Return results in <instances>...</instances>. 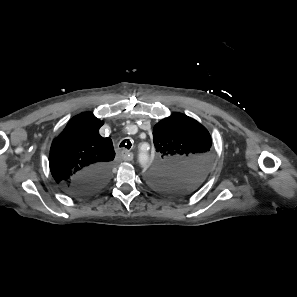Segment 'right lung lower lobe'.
<instances>
[{
    "mask_svg": "<svg viewBox=\"0 0 297 297\" xmlns=\"http://www.w3.org/2000/svg\"><path fill=\"white\" fill-rule=\"evenodd\" d=\"M111 166L97 165L77 174L69 184V192L75 196H87L101 189L110 177Z\"/></svg>",
    "mask_w": 297,
    "mask_h": 297,
    "instance_id": "right-lung-lower-lobe-1",
    "label": "right lung lower lobe"
}]
</instances>
